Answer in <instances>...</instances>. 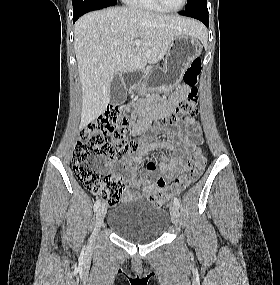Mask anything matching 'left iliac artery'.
<instances>
[{
  "label": "left iliac artery",
  "instance_id": "obj_1",
  "mask_svg": "<svg viewBox=\"0 0 280 285\" xmlns=\"http://www.w3.org/2000/svg\"><path fill=\"white\" fill-rule=\"evenodd\" d=\"M174 204L179 208L180 207V202L178 198L174 197Z\"/></svg>",
  "mask_w": 280,
  "mask_h": 285
}]
</instances>
